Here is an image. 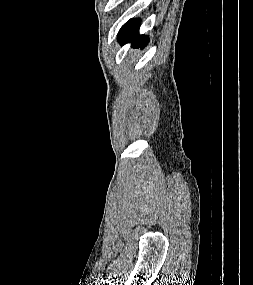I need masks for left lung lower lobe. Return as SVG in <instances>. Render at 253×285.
<instances>
[{"label":"left lung lower lobe","instance_id":"0a47b994","mask_svg":"<svg viewBox=\"0 0 253 285\" xmlns=\"http://www.w3.org/2000/svg\"><path fill=\"white\" fill-rule=\"evenodd\" d=\"M140 20L131 19L125 23L118 33V42L120 44H126L128 42L132 43L133 47H145L148 42V37L144 35H139Z\"/></svg>","mask_w":253,"mask_h":285}]
</instances>
